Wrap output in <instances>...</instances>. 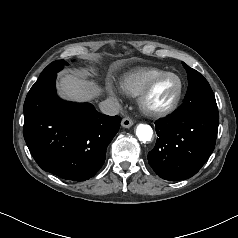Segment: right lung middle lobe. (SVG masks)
Here are the masks:
<instances>
[{"label":"right lung middle lobe","instance_id":"1","mask_svg":"<svg viewBox=\"0 0 238 238\" xmlns=\"http://www.w3.org/2000/svg\"><path fill=\"white\" fill-rule=\"evenodd\" d=\"M68 65V63L64 60H57L49 64L41 73L44 74H51L59 72L64 66Z\"/></svg>","mask_w":238,"mask_h":238}]
</instances>
